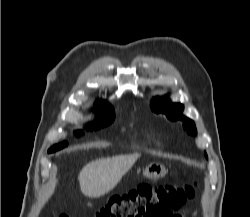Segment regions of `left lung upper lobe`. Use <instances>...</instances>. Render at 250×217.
<instances>
[{
    "label": "left lung upper lobe",
    "instance_id": "obj_1",
    "mask_svg": "<svg viewBox=\"0 0 250 217\" xmlns=\"http://www.w3.org/2000/svg\"><path fill=\"white\" fill-rule=\"evenodd\" d=\"M151 108L156 113H163L167 116V118L171 121L181 120L183 121V127L190 135H196V127L194 122L185 117L183 112V105L178 103H171L169 100H163L161 98H153L151 101ZM205 156L207 158V155L205 153Z\"/></svg>",
    "mask_w": 250,
    "mask_h": 217
}]
</instances>
